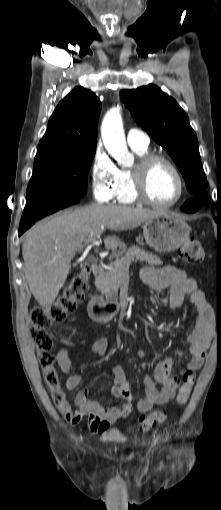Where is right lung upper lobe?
<instances>
[{"label":"right lung upper lobe","mask_w":221,"mask_h":510,"mask_svg":"<svg viewBox=\"0 0 221 510\" xmlns=\"http://www.w3.org/2000/svg\"><path fill=\"white\" fill-rule=\"evenodd\" d=\"M101 102L94 93L74 88L56 107L35 158L96 147Z\"/></svg>","instance_id":"right-lung-upper-lobe-1"}]
</instances>
